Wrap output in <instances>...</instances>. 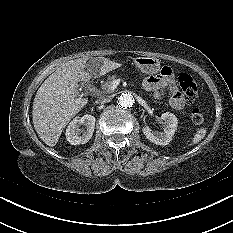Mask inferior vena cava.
<instances>
[{"mask_svg": "<svg viewBox=\"0 0 233 233\" xmlns=\"http://www.w3.org/2000/svg\"><path fill=\"white\" fill-rule=\"evenodd\" d=\"M111 101L110 97H106V96H100L97 100L96 103L97 104H104V103H108Z\"/></svg>", "mask_w": 233, "mask_h": 233, "instance_id": "obj_1", "label": "inferior vena cava"}]
</instances>
